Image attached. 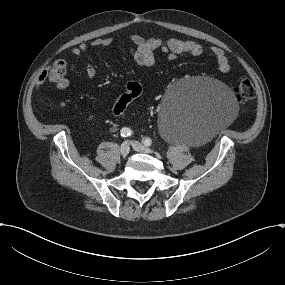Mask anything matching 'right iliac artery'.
I'll return each instance as SVG.
<instances>
[{"mask_svg":"<svg viewBox=\"0 0 285 285\" xmlns=\"http://www.w3.org/2000/svg\"><path fill=\"white\" fill-rule=\"evenodd\" d=\"M120 134L122 137H128L132 134V130L130 128L124 127L121 129Z\"/></svg>","mask_w":285,"mask_h":285,"instance_id":"obj_1","label":"right iliac artery"}]
</instances>
